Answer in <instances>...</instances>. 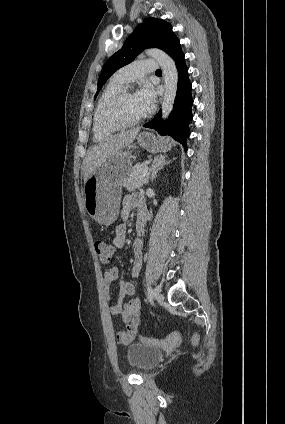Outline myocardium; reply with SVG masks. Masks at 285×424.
<instances>
[{
    "instance_id": "obj_1",
    "label": "myocardium",
    "mask_w": 285,
    "mask_h": 424,
    "mask_svg": "<svg viewBox=\"0 0 285 424\" xmlns=\"http://www.w3.org/2000/svg\"><path fill=\"white\" fill-rule=\"evenodd\" d=\"M132 93H134L133 90L129 88H124L121 91H119L117 94H115L105 104L101 112V117H100L101 124L104 127L112 128V129H125V128L136 126L140 124L141 122H143L145 119H147L148 117L147 113L132 121H125L117 116L116 114L117 107L123 101L125 97H127L128 95Z\"/></svg>"
}]
</instances>
